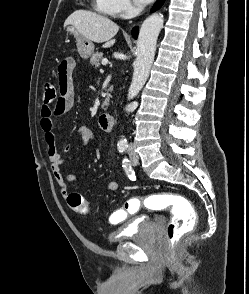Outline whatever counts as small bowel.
I'll list each match as a JSON object with an SVG mask.
<instances>
[{
    "label": "small bowel",
    "instance_id": "1",
    "mask_svg": "<svg viewBox=\"0 0 249 294\" xmlns=\"http://www.w3.org/2000/svg\"><path fill=\"white\" fill-rule=\"evenodd\" d=\"M71 69L66 73L62 74L58 69V82L60 87V97L53 104H43L40 109V128L44 134L46 142L47 157L50 162L51 172L54 180L60 187L61 194L66 196L68 194V185L74 183L77 180L76 174L64 175L63 164L65 158L59 151L56 144L55 134V119L59 116L66 114L74 104L75 90L72 79V71L74 68V60L70 57ZM72 136L78 137L82 140L84 146L90 145L95 142L96 136L94 132L86 125L77 126ZM73 150L71 144H66L63 147V152H70ZM106 188L111 191H117L119 184L116 181H108ZM122 220L119 216V211L112 214L110 222L117 224Z\"/></svg>",
    "mask_w": 249,
    "mask_h": 294
}]
</instances>
